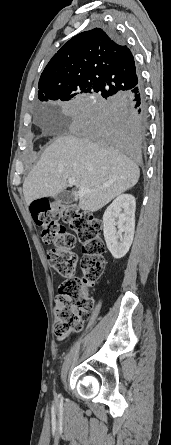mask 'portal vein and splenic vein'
<instances>
[{"label": "portal vein and splenic vein", "instance_id": "portal-vein-and-splenic-vein-1", "mask_svg": "<svg viewBox=\"0 0 171 445\" xmlns=\"http://www.w3.org/2000/svg\"><path fill=\"white\" fill-rule=\"evenodd\" d=\"M68 183L73 186L76 185V180L74 178H69L68 179ZM95 190H85V189H79L78 190V195L81 197L83 196L85 193H90V192H94Z\"/></svg>", "mask_w": 171, "mask_h": 445}]
</instances>
